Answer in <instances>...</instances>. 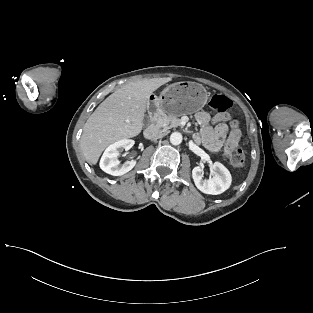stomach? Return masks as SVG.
Masks as SVG:
<instances>
[{"label":"stomach","instance_id":"stomach-1","mask_svg":"<svg viewBox=\"0 0 313 313\" xmlns=\"http://www.w3.org/2000/svg\"><path fill=\"white\" fill-rule=\"evenodd\" d=\"M208 100L206 89L195 82H177L167 86L161 94L150 98L151 106L169 115L192 114L204 107Z\"/></svg>","mask_w":313,"mask_h":313}]
</instances>
